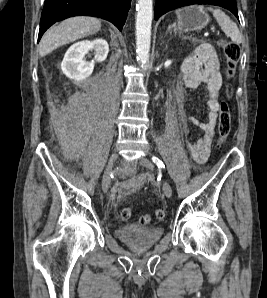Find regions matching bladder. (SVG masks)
I'll return each mask as SVG.
<instances>
[{
    "mask_svg": "<svg viewBox=\"0 0 267 298\" xmlns=\"http://www.w3.org/2000/svg\"><path fill=\"white\" fill-rule=\"evenodd\" d=\"M162 227H139L135 225L121 226L116 236L122 242L136 250H145L154 246L163 236Z\"/></svg>",
    "mask_w": 267,
    "mask_h": 298,
    "instance_id": "31cf9c89",
    "label": "bladder"
}]
</instances>
